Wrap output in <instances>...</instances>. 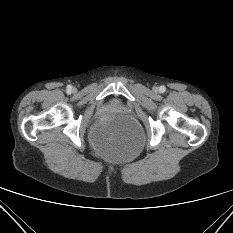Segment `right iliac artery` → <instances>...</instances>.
Segmentation results:
<instances>
[{
    "instance_id": "1",
    "label": "right iliac artery",
    "mask_w": 233,
    "mask_h": 233,
    "mask_svg": "<svg viewBox=\"0 0 233 233\" xmlns=\"http://www.w3.org/2000/svg\"><path fill=\"white\" fill-rule=\"evenodd\" d=\"M72 89V86L68 85L67 90L70 91Z\"/></svg>"
}]
</instances>
